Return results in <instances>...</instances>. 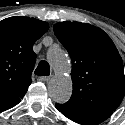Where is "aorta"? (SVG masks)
Returning a JSON list of instances; mask_svg holds the SVG:
<instances>
[{
	"label": "aorta",
	"mask_w": 125,
	"mask_h": 125,
	"mask_svg": "<svg viewBox=\"0 0 125 125\" xmlns=\"http://www.w3.org/2000/svg\"><path fill=\"white\" fill-rule=\"evenodd\" d=\"M47 59L55 71V76L49 81L48 91L53 101L65 103L72 94V80L68 76L71 69L67 54L60 48H51Z\"/></svg>",
	"instance_id": "762f6f07"
}]
</instances>
